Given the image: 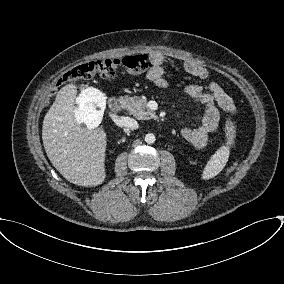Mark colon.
<instances>
[{
    "mask_svg": "<svg viewBox=\"0 0 284 284\" xmlns=\"http://www.w3.org/2000/svg\"><path fill=\"white\" fill-rule=\"evenodd\" d=\"M151 67V62L146 55H131L120 58H109L96 61H90L66 72L54 85V90L59 86L80 80H92L96 78L110 79L115 77L119 72H125L127 74L135 75L141 74ZM225 133L228 145L230 149H234L236 126L231 118L225 120ZM236 166L235 162H232L228 171L231 172Z\"/></svg>",
    "mask_w": 284,
    "mask_h": 284,
    "instance_id": "colon-1",
    "label": "colon"
}]
</instances>
